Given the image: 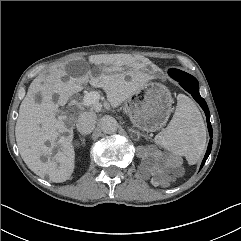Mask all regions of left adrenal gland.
<instances>
[{
    "label": "left adrenal gland",
    "instance_id": "obj_1",
    "mask_svg": "<svg viewBox=\"0 0 241 241\" xmlns=\"http://www.w3.org/2000/svg\"><path fill=\"white\" fill-rule=\"evenodd\" d=\"M129 131H130L131 133L137 135L136 140H139V139H140L141 134H140L138 131H136V130H134V129H132V128H129Z\"/></svg>",
    "mask_w": 241,
    "mask_h": 241
}]
</instances>
